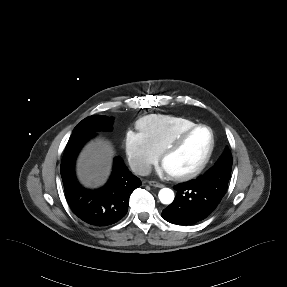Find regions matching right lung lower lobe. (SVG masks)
I'll return each mask as SVG.
<instances>
[{
	"label": "right lung lower lobe",
	"instance_id": "right-lung-lower-lobe-1",
	"mask_svg": "<svg viewBox=\"0 0 287 287\" xmlns=\"http://www.w3.org/2000/svg\"><path fill=\"white\" fill-rule=\"evenodd\" d=\"M96 131L73 133L61 161V177L65 197L73 213L92 226H108L122 219L128 211L129 197L141 186L139 178L124 165L121 158L114 160L112 175L105 186L90 190L82 187L75 176L76 157L83 145Z\"/></svg>",
	"mask_w": 287,
	"mask_h": 287
}]
</instances>
